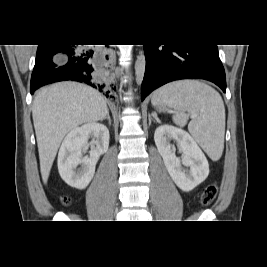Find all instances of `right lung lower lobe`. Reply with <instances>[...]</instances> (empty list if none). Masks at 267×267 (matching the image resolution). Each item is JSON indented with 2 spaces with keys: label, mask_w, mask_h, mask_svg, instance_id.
Segmentation results:
<instances>
[{
  "label": "right lung lower lobe",
  "mask_w": 267,
  "mask_h": 267,
  "mask_svg": "<svg viewBox=\"0 0 267 267\" xmlns=\"http://www.w3.org/2000/svg\"><path fill=\"white\" fill-rule=\"evenodd\" d=\"M69 80L88 84L106 97H113L116 91L109 81L105 57L99 51L74 45H39L31 77V94L44 85Z\"/></svg>",
  "instance_id": "98d812e1"
}]
</instances>
